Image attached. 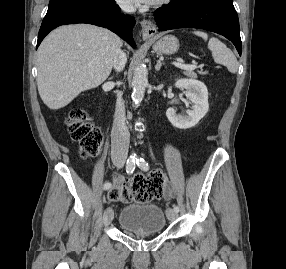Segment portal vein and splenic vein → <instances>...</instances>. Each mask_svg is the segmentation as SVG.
I'll return each mask as SVG.
<instances>
[{
	"instance_id": "obj_1",
	"label": "portal vein and splenic vein",
	"mask_w": 286,
	"mask_h": 269,
	"mask_svg": "<svg viewBox=\"0 0 286 269\" xmlns=\"http://www.w3.org/2000/svg\"><path fill=\"white\" fill-rule=\"evenodd\" d=\"M173 64L178 67V68H181V69H185V70H194L197 68V66L195 64H184V63H181V62H173Z\"/></svg>"
}]
</instances>
